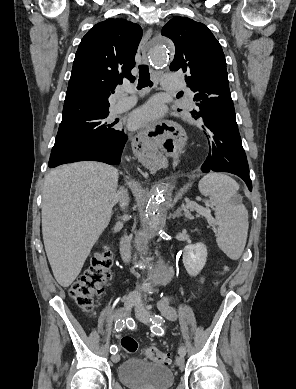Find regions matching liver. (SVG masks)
<instances>
[{
  "instance_id": "liver-1",
  "label": "liver",
  "mask_w": 296,
  "mask_h": 389,
  "mask_svg": "<svg viewBox=\"0 0 296 389\" xmlns=\"http://www.w3.org/2000/svg\"><path fill=\"white\" fill-rule=\"evenodd\" d=\"M117 186L118 170L92 161L62 165L47 174L42 234L54 277L62 287L77 278L108 226Z\"/></svg>"
}]
</instances>
